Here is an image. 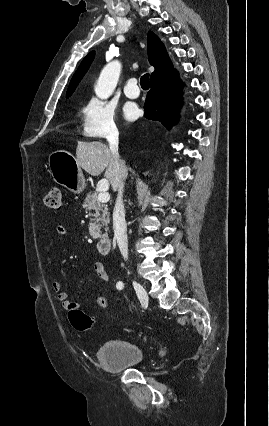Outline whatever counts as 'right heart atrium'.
Here are the masks:
<instances>
[{"label": "right heart atrium", "mask_w": 269, "mask_h": 426, "mask_svg": "<svg viewBox=\"0 0 269 426\" xmlns=\"http://www.w3.org/2000/svg\"><path fill=\"white\" fill-rule=\"evenodd\" d=\"M80 132L89 138H109L118 134L115 108L105 100L89 98L81 107Z\"/></svg>", "instance_id": "d8ad5b80"}]
</instances>
